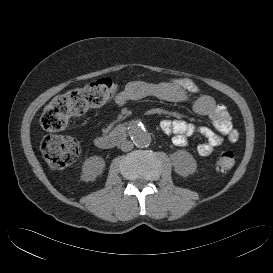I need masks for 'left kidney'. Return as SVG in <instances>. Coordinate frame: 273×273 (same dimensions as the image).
<instances>
[{"mask_svg":"<svg viewBox=\"0 0 273 273\" xmlns=\"http://www.w3.org/2000/svg\"><path fill=\"white\" fill-rule=\"evenodd\" d=\"M175 172L183 177L195 172L197 163L193 156L186 150H177L171 155Z\"/></svg>","mask_w":273,"mask_h":273,"instance_id":"5707ae66","label":"left kidney"}]
</instances>
